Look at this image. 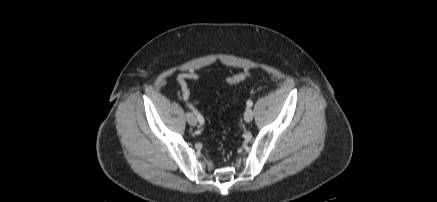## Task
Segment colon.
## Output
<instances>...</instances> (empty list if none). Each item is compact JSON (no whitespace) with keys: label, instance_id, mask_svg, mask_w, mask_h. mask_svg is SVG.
Listing matches in <instances>:
<instances>
[{"label":"colon","instance_id":"obj_1","mask_svg":"<svg viewBox=\"0 0 437 202\" xmlns=\"http://www.w3.org/2000/svg\"><path fill=\"white\" fill-rule=\"evenodd\" d=\"M249 75H250V73L248 71L238 72V73L232 75L231 77H229L227 79L226 83L228 85H236V84L244 81Z\"/></svg>","mask_w":437,"mask_h":202}]
</instances>
